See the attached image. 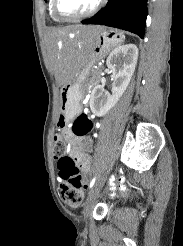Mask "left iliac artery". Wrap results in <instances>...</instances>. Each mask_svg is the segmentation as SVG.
<instances>
[{
  "label": "left iliac artery",
  "mask_w": 183,
  "mask_h": 246,
  "mask_svg": "<svg viewBox=\"0 0 183 246\" xmlns=\"http://www.w3.org/2000/svg\"><path fill=\"white\" fill-rule=\"evenodd\" d=\"M95 181H96V176L91 180L90 185H89V188H92L93 187Z\"/></svg>",
  "instance_id": "obj_1"
}]
</instances>
